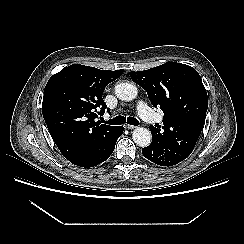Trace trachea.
<instances>
[{
  "label": "trachea",
  "mask_w": 244,
  "mask_h": 244,
  "mask_svg": "<svg viewBox=\"0 0 244 244\" xmlns=\"http://www.w3.org/2000/svg\"><path fill=\"white\" fill-rule=\"evenodd\" d=\"M126 121L130 125H134V126L139 125V121L136 118H134V117L126 118L125 116H117L113 119L106 121L105 123H107L109 125H121V124L126 123Z\"/></svg>",
  "instance_id": "trachea-1"
}]
</instances>
